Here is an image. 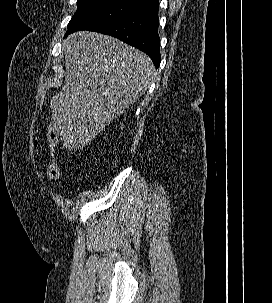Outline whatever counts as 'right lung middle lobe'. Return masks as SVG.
Returning <instances> with one entry per match:
<instances>
[{"label":"right lung middle lobe","mask_w":272,"mask_h":303,"mask_svg":"<svg viewBox=\"0 0 272 303\" xmlns=\"http://www.w3.org/2000/svg\"><path fill=\"white\" fill-rule=\"evenodd\" d=\"M77 5L65 36L141 10L136 4L123 0H78Z\"/></svg>","instance_id":"dd1d6c3e"}]
</instances>
